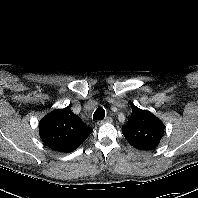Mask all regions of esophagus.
<instances>
[{"instance_id": "34e87169", "label": "esophagus", "mask_w": 198, "mask_h": 198, "mask_svg": "<svg viewBox=\"0 0 198 198\" xmlns=\"http://www.w3.org/2000/svg\"><path fill=\"white\" fill-rule=\"evenodd\" d=\"M113 119L111 117H106L104 120H98L97 124L98 125H103L105 123H112Z\"/></svg>"}]
</instances>
